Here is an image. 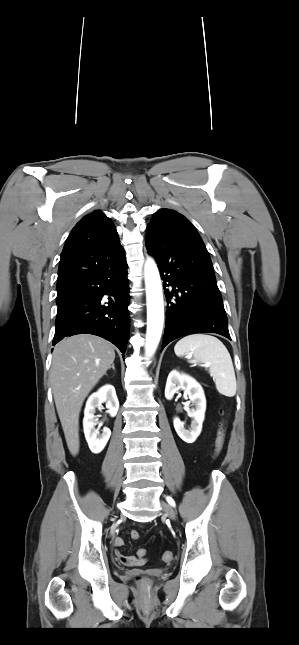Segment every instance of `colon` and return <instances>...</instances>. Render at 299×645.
<instances>
[{"label": "colon", "instance_id": "colon-1", "mask_svg": "<svg viewBox=\"0 0 299 645\" xmlns=\"http://www.w3.org/2000/svg\"><path fill=\"white\" fill-rule=\"evenodd\" d=\"M224 443H225V426L222 424L220 426L219 431H218L216 442H215V450H214V456L215 457H217L221 453V451H222V449L224 447ZM131 537H132V539L137 540V539H139L140 535H139V533L137 531H132L131 532ZM137 556L139 558H142V559L145 558L146 550L143 549V548L138 549ZM162 559L165 562L171 561L173 559V553L171 551H165L163 553V555H162ZM139 579L141 580V578H139Z\"/></svg>", "mask_w": 299, "mask_h": 645}]
</instances>
